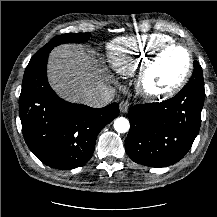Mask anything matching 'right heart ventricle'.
<instances>
[{"label":"right heart ventricle","instance_id":"obj_1","mask_svg":"<svg viewBox=\"0 0 217 217\" xmlns=\"http://www.w3.org/2000/svg\"><path fill=\"white\" fill-rule=\"evenodd\" d=\"M171 41L169 36L160 33L119 37L108 44V62L117 73L132 74L155 50Z\"/></svg>","mask_w":217,"mask_h":217}]
</instances>
